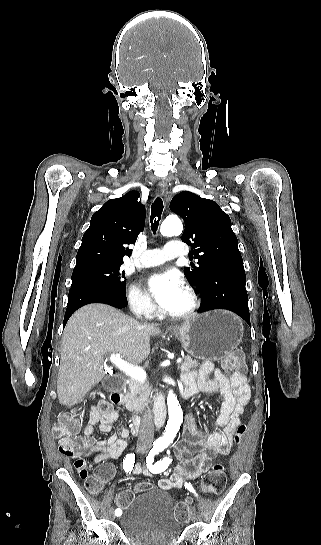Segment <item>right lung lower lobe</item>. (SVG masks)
<instances>
[{
    "label": "right lung lower lobe",
    "instance_id": "obj_1",
    "mask_svg": "<svg viewBox=\"0 0 321 545\" xmlns=\"http://www.w3.org/2000/svg\"><path fill=\"white\" fill-rule=\"evenodd\" d=\"M90 303H104L116 308L127 306L126 292L93 283H74L71 285L64 325L70 316L80 307Z\"/></svg>",
    "mask_w": 321,
    "mask_h": 545
}]
</instances>
